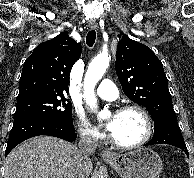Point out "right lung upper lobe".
<instances>
[{"label": "right lung upper lobe", "mask_w": 194, "mask_h": 178, "mask_svg": "<svg viewBox=\"0 0 194 178\" xmlns=\"http://www.w3.org/2000/svg\"><path fill=\"white\" fill-rule=\"evenodd\" d=\"M81 54L67 33L39 44L25 60L17 101L68 93L69 76Z\"/></svg>", "instance_id": "1"}]
</instances>
